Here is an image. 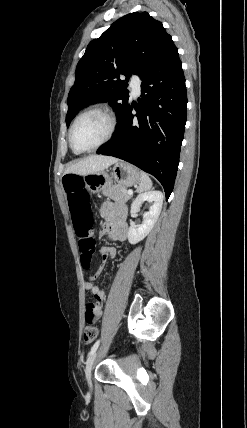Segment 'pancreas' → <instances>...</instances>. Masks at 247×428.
Returning <instances> with one entry per match:
<instances>
[{"label":"pancreas","instance_id":"obj_1","mask_svg":"<svg viewBox=\"0 0 247 428\" xmlns=\"http://www.w3.org/2000/svg\"><path fill=\"white\" fill-rule=\"evenodd\" d=\"M104 196L118 203H125L131 195L127 193V189L122 185H111L103 191Z\"/></svg>","mask_w":247,"mask_h":428}]
</instances>
